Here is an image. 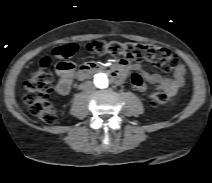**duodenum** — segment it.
I'll list each match as a JSON object with an SVG mask.
<instances>
[{"instance_id": "1", "label": "duodenum", "mask_w": 212, "mask_h": 183, "mask_svg": "<svg viewBox=\"0 0 212 183\" xmlns=\"http://www.w3.org/2000/svg\"><path fill=\"white\" fill-rule=\"evenodd\" d=\"M98 72H107L109 77L117 83H120L123 80V72L118 67L106 69L105 67L93 62L82 65L76 76L78 80H85Z\"/></svg>"}]
</instances>
